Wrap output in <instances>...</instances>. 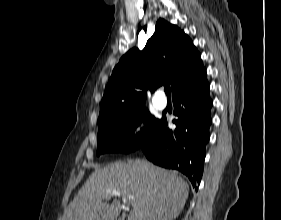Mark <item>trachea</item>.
I'll return each mask as SVG.
<instances>
[{"label": "trachea", "instance_id": "obj_1", "mask_svg": "<svg viewBox=\"0 0 281 220\" xmlns=\"http://www.w3.org/2000/svg\"><path fill=\"white\" fill-rule=\"evenodd\" d=\"M164 90H165L166 95L170 97L171 96V88H170V86L167 85Z\"/></svg>", "mask_w": 281, "mask_h": 220}]
</instances>
